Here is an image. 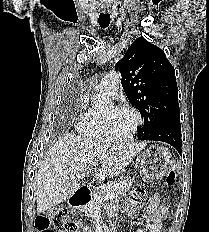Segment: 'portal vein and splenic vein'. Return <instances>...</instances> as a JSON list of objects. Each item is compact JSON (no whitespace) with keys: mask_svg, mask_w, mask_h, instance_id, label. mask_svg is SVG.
<instances>
[{"mask_svg":"<svg viewBox=\"0 0 209 232\" xmlns=\"http://www.w3.org/2000/svg\"><path fill=\"white\" fill-rule=\"evenodd\" d=\"M91 166L95 167L97 166V162H92ZM118 197V194L117 193H107L103 196V200L106 201V200H113L114 198Z\"/></svg>","mask_w":209,"mask_h":232,"instance_id":"1","label":"portal vein and splenic vein"}]
</instances>
